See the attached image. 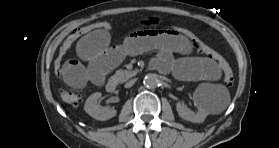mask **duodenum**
Masks as SVG:
<instances>
[{
	"label": "duodenum",
	"mask_w": 279,
	"mask_h": 148,
	"mask_svg": "<svg viewBox=\"0 0 279 148\" xmlns=\"http://www.w3.org/2000/svg\"><path fill=\"white\" fill-rule=\"evenodd\" d=\"M118 86V82L115 78H112L107 83V90L108 92H115Z\"/></svg>",
	"instance_id": "1"
}]
</instances>
